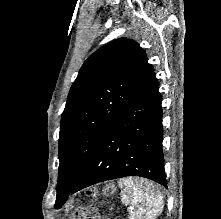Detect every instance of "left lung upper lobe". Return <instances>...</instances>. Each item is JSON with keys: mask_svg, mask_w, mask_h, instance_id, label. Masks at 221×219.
<instances>
[{"mask_svg": "<svg viewBox=\"0 0 221 219\" xmlns=\"http://www.w3.org/2000/svg\"><path fill=\"white\" fill-rule=\"evenodd\" d=\"M153 73L144 50L120 38L94 52L81 67L62 113L55 208H60L104 133Z\"/></svg>", "mask_w": 221, "mask_h": 219, "instance_id": "left-lung-upper-lobe-1", "label": "left lung upper lobe"}]
</instances>
